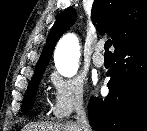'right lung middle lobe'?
Returning a JSON list of instances; mask_svg holds the SVG:
<instances>
[{
	"label": "right lung middle lobe",
	"mask_w": 147,
	"mask_h": 131,
	"mask_svg": "<svg viewBox=\"0 0 147 131\" xmlns=\"http://www.w3.org/2000/svg\"><path fill=\"white\" fill-rule=\"evenodd\" d=\"M43 73L44 71H41L33 75L28 85L25 98L23 100L22 112H28L29 110H31L38 89V85L40 83Z\"/></svg>",
	"instance_id": "dd1d6c3e"
}]
</instances>
